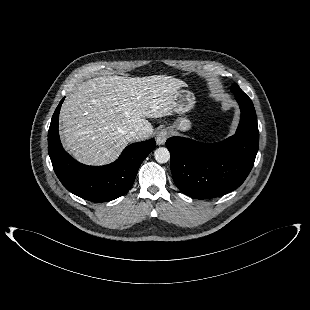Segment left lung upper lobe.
I'll use <instances>...</instances> for the list:
<instances>
[{
  "label": "left lung upper lobe",
  "mask_w": 310,
  "mask_h": 310,
  "mask_svg": "<svg viewBox=\"0 0 310 310\" xmlns=\"http://www.w3.org/2000/svg\"><path fill=\"white\" fill-rule=\"evenodd\" d=\"M231 91L234 93L236 91H241V89L237 84H233L231 87Z\"/></svg>",
  "instance_id": "obj_1"
}]
</instances>
